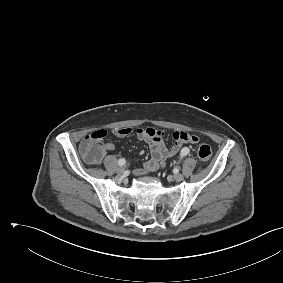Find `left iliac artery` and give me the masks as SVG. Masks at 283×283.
<instances>
[{"label": "left iliac artery", "instance_id": "obj_1", "mask_svg": "<svg viewBox=\"0 0 283 283\" xmlns=\"http://www.w3.org/2000/svg\"><path fill=\"white\" fill-rule=\"evenodd\" d=\"M189 153V149L188 148H183L181 151V157L186 156Z\"/></svg>", "mask_w": 283, "mask_h": 283}]
</instances>
